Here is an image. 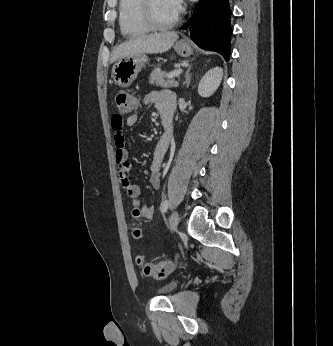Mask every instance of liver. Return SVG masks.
Masks as SVG:
<instances>
[{
    "label": "liver",
    "mask_w": 333,
    "mask_h": 346,
    "mask_svg": "<svg viewBox=\"0 0 333 346\" xmlns=\"http://www.w3.org/2000/svg\"><path fill=\"white\" fill-rule=\"evenodd\" d=\"M178 39L175 32L154 33L120 44L113 52L112 61L120 58L145 53H164L168 51Z\"/></svg>",
    "instance_id": "obj_1"
}]
</instances>
